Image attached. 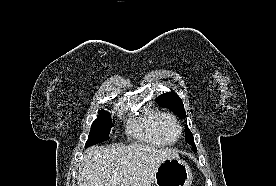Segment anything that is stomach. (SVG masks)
Returning a JSON list of instances; mask_svg holds the SVG:
<instances>
[{"mask_svg":"<svg viewBox=\"0 0 276 186\" xmlns=\"http://www.w3.org/2000/svg\"><path fill=\"white\" fill-rule=\"evenodd\" d=\"M192 179V172L187 163L179 156L170 157L159 165L153 186H190Z\"/></svg>","mask_w":276,"mask_h":186,"instance_id":"1","label":"stomach"}]
</instances>
